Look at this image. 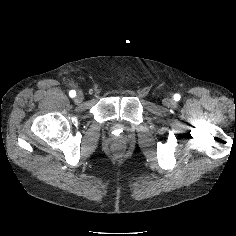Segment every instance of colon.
Instances as JSON below:
<instances>
[{"mask_svg":"<svg viewBox=\"0 0 236 236\" xmlns=\"http://www.w3.org/2000/svg\"><path fill=\"white\" fill-rule=\"evenodd\" d=\"M113 149L116 153H120L122 151L123 147L120 144H115Z\"/></svg>","mask_w":236,"mask_h":236,"instance_id":"colon-1","label":"colon"}]
</instances>
